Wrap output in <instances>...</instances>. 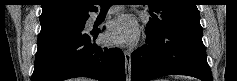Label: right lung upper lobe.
<instances>
[{
	"label": "right lung upper lobe",
	"instance_id": "1",
	"mask_svg": "<svg viewBox=\"0 0 237 81\" xmlns=\"http://www.w3.org/2000/svg\"><path fill=\"white\" fill-rule=\"evenodd\" d=\"M96 10L92 0H43L40 22L88 16Z\"/></svg>",
	"mask_w": 237,
	"mask_h": 81
}]
</instances>
